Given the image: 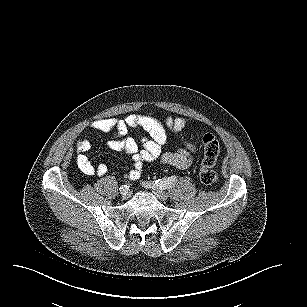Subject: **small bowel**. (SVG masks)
<instances>
[{"label": "small bowel", "mask_w": 307, "mask_h": 307, "mask_svg": "<svg viewBox=\"0 0 307 307\" xmlns=\"http://www.w3.org/2000/svg\"><path fill=\"white\" fill-rule=\"evenodd\" d=\"M188 120L181 117H167L164 123L158 119L131 114L123 119L103 118L91 122L90 129L99 132H113L107 146L114 151H119L129 156L133 161L134 168L125 174V178L131 181L138 180L141 176L142 167L145 163L160 161L179 169L188 168L193 161L196 146L191 142H185L183 146L174 151H163L167 141L166 128L174 133L180 132L187 125ZM130 128L144 130L148 137L142 139L139 147L135 139L127 137ZM91 148L88 135H84L76 143L77 163L80 170L89 176H104L108 172L106 164L95 166L89 159L87 152Z\"/></svg>", "instance_id": "small-bowel-1"}]
</instances>
